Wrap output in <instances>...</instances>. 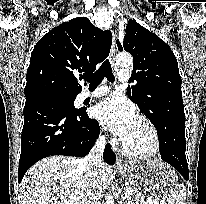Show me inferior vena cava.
Returning <instances> with one entry per match:
<instances>
[{"instance_id": "obj_1", "label": "inferior vena cava", "mask_w": 206, "mask_h": 204, "mask_svg": "<svg viewBox=\"0 0 206 204\" xmlns=\"http://www.w3.org/2000/svg\"><path fill=\"white\" fill-rule=\"evenodd\" d=\"M105 136L100 135L89 154L83 159L86 165L88 190L84 204H100L102 194L101 174L103 168V153L105 149Z\"/></svg>"}]
</instances>
